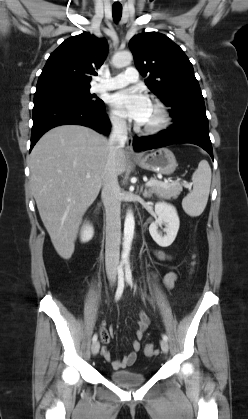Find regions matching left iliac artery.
<instances>
[{
	"label": "left iliac artery",
	"instance_id": "left-iliac-artery-1",
	"mask_svg": "<svg viewBox=\"0 0 248 419\" xmlns=\"http://www.w3.org/2000/svg\"><path fill=\"white\" fill-rule=\"evenodd\" d=\"M125 276H126V281L128 282V284L133 286L132 272L129 265H127L125 268ZM162 338L166 341L168 340V337L165 334L162 335Z\"/></svg>",
	"mask_w": 248,
	"mask_h": 419
}]
</instances>
